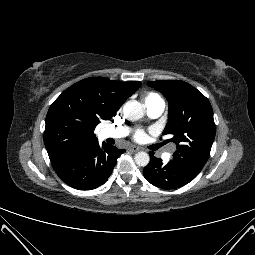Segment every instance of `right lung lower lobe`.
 <instances>
[{
	"mask_svg": "<svg viewBox=\"0 0 255 255\" xmlns=\"http://www.w3.org/2000/svg\"><path fill=\"white\" fill-rule=\"evenodd\" d=\"M125 150L103 143L89 144L51 160L57 175L78 190H92L104 184L117 158Z\"/></svg>",
	"mask_w": 255,
	"mask_h": 255,
	"instance_id": "right-lung-lower-lobe-1",
	"label": "right lung lower lobe"
}]
</instances>
